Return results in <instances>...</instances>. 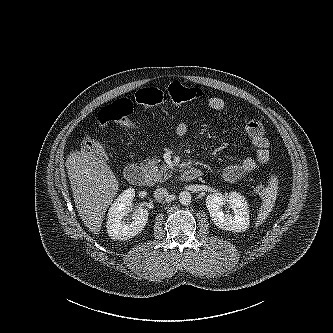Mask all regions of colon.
Returning <instances> with one entry per match:
<instances>
[{
  "mask_svg": "<svg viewBox=\"0 0 333 333\" xmlns=\"http://www.w3.org/2000/svg\"><path fill=\"white\" fill-rule=\"evenodd\" d=\"M203 91L199 88L188 87L180 82H172L166 91L155 87L141 89L136 94V101L145 107L160 106L170 104L178 106L187 102L200 99ZM134 105L129 99H120L110 105L102 107L95 115L94 120L100 127L117 125L121 128H130L132 122L130 119L133 113ZM85 148L91 152L100 153L101 146L90 133L83 135ZM274 184H261L255 187V192L264 194L274 189Z\"/></svg>",
  "mask_w": 333,
  "mask_h": 333,
  "instance_id": "1",
  "label": "colon"
}]
</instances>
